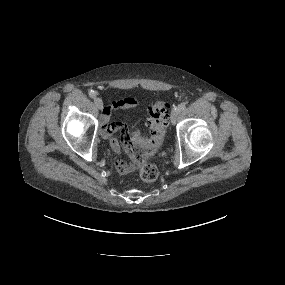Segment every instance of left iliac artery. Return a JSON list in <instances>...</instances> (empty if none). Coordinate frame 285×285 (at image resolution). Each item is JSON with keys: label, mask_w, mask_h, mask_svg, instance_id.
Returning a JSON list of instances; mask_svg holds the SVG:
<instances>
[{"label": "left iliac artery", "mask_w": 285, "mask_h": 285, "mask_svg": "<svg viewBox=\"0 0 285 285\" xmlns=\"http://www.w3.org/2000/svg\"><path fill=\"white\" fill-rule=\"evenodd\" d=\"M186 108V103H181L178 105V107L176 108L179 112H181L182 110H184Z\"/></svg>", "instance_id": "left-iliac-artery-1"}]
</instances>
